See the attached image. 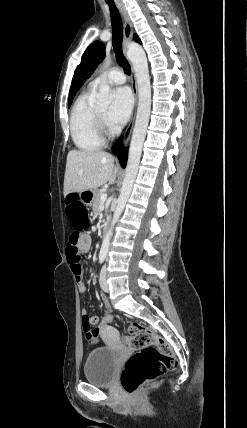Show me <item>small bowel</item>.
<instances>
[{"instance_id":"small-bowel-1","label":"small bowel","mask_w":247,"mask_h":428,"mask_svg":"<svg viewBox=\"0 0 247 428\" xmlns=\"http://www.w3.org/2000/svg\"><path fill=\"white\" fill-rule=\"evenodd\" d=\"M91 237L89 235H82L77 243V250H78V255L79 252L82 253H86L90 250L91 248ZM67 259L68 262L70 263L72 272L74 273L75 277H76V281H77V286H78V291L81 295H84L87 287L85 282L83 281L82 278V268L79 262V259L77 258V256H73L67 249ZM103 300L107 303V299L106 297H103ZM110 308L109 306L106 307ZM111 309V308H110ZM83 318H87L89 323L91 325H100V318L98 316H89L86 309L82 310V319Z\"/></svg>"}]
</instances>
